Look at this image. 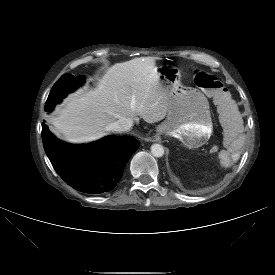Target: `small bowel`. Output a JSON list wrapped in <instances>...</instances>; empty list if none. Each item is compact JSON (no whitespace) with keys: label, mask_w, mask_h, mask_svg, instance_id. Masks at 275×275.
<instances>
[{"label":"small bowel","mask_w":275,"mask_h":275,"mask_svg":"<svg viewBox=\"0 0 275 275\" xmlns=\"http://www.w3.org/2000/svg\"><path fill=\"white\" fill-rule=\"evenodd\" d=\"M218 113L224 125V137L227 149L221 151L219 164L223 168H229L238 162L241 143L244 139L243 121L236 104L232 100L222 103L218 107Z\"/></svg>","instance_id":"small-bowel-1"}]
</instances>
